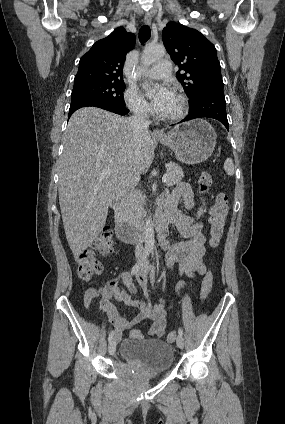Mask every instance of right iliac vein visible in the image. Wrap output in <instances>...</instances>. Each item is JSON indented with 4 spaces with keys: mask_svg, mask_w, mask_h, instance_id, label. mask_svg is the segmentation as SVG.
<instances>
[{
    "mask_svg": "<svg viewBox=\"0 0 285 424\" xmlns=\"http://www.w3.org/2000/svg\"><path fill=\"white\" fill-rule=\"evenodd\" d=\"M115 351H116V341L112 339L108 345V352L110 355H114Z\"/></svg>",
    "mask_w": 285,
    "mask_h": 424,
    "instance_id": "1",
    "label": "right iliac vein"
}]
</instances>
